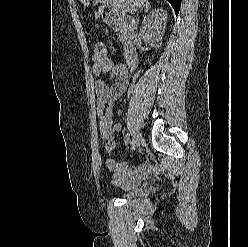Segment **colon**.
I'll return each mask as SVG.
<instances>
[{"label": "colon", "mask_w": 248, "mask_h": 247, "mask_svg": "<svg viewBox=\"0 0 248 247\" xmlns=\"http://www.w3.org/2000/svg\"><path fill=\"white\" fill-rule=\"evenodd\" d=\"M94 56L101 60L103 59L104 57H106V48L104 46L103 43H100L98 42L96 45H95V49H94Z\"/></svg>", "instance_id": "colon-1"}]
</instances>
